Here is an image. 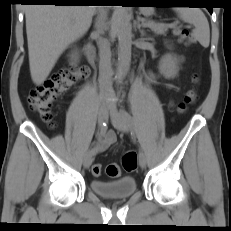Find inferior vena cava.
Here are the masks:
<instances>
[{
	"label": "inferior vena cava",
	"instance_id": "obj_1",
	"mask_svg": "<svg viewBox=\"0 0 231 231\" xmlns=\"http://www.w3.org/2000/svg\"><path fill=\"white\" fill-rule=\"evenodd\" d=\"M98 19L95 25L96 33L98 35V46H99V82L102 91L111 90V51L107 41L99 37L105 28L106 11L102 6L98 9Z\"/></svg>",
	"mask_w": 231,
	"mask_h": 231
}]
</instances>
